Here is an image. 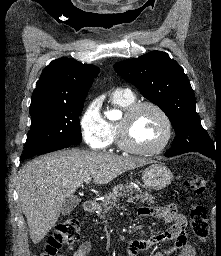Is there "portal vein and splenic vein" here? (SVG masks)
I'll return each mask as SVG.
<instances>
[{"mask_svg": "<svg viewBox=\"0 0 221 256\" xmlns=\"http://www.w3.org/2000/svg\"><path fill=\"white\" fill-rule=\"evenodd\" d=\"M90 181H91V179H90V178H88V179H86V180H85V183H86V184H89V183H90Z\"/></svg>", "mask_w": 221, "mask_h": 256, "instance_id": "1", "label": "portal vein and splenic vein"}]
</instances>
